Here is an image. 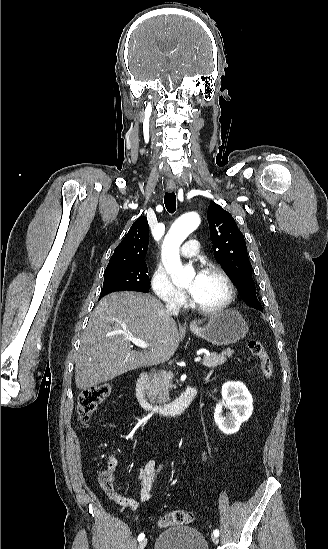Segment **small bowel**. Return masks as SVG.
<instances>
[{
    "instance_id": "small-bowel-1",
    "label": "small bowel",
    "mask_w": 328,
    "mask_h": 549,
    "mask_svg": "<svg viewBox=\"0 0 328 549\" xmlns=\"http://www.w3.org/2000/svg\"><path fill=\"white\" fill-rule=\"evenodd\" d=\"M207 456H208V451L206 448H204L202 452L203 463L206 462ZM156 465H157V462L152 459L147 461L144 464V466H142L138 471V481L140 485L139 501L142 503L148 502L151 499L152 489L158 479ZM117 466H118L117 458L112 454L108 455L106 458L107 472L111 475L112 473L115 472ZM109 497L115 500V502L119 504L124 510L133 511L138 506V502L136 500L132 498H128L122 494L116 493L114 490V487Z\"/></svg>"
}]
</instances>
